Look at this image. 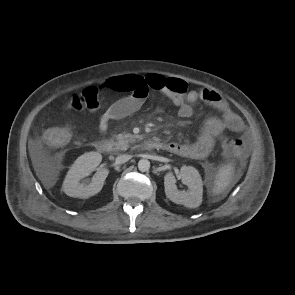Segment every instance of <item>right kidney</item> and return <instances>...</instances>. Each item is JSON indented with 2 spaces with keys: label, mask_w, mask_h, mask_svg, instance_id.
Instances as JSON below:
<instances>
[{
  "label": "right kidney",
  "mask_w": 295,
  "mask_h": 295,
  "mask_svg": "<svg viewBox=\"0 0 295 295\" xmlns=\"http://www.w3.org/2000/svg\"><path fill=\"white\" fill-rule=\"evenodd\" d=\"M101 161L102 156L98 152H88L78 157L65 177L63 191L74 198H89L99 193L109 174L108 169L98 170L90 183L80 180L94 171Z\"/></svg>",
  "instance_id": "obj_1"
}]
</instances>
